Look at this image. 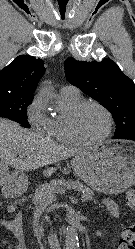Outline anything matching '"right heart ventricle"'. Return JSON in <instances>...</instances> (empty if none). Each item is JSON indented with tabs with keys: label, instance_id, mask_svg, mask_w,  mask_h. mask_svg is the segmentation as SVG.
<instances>
[{
	"label": "right heart ventricle",
	"instance_id": "obj_1",
	"mask_svg": "<svg viewBox=\"0 0 135 249\" xmlns=\"http://www.w3.org/2000/svg\"><path fill=\"white\" fill-rule=\"evenodd\" d=\"M60 101L65 107L67 114L63 117H56L51 119L48 136L60 143L73 145L76 144L71 138L67 129V116L68 113L81 102L80 97L71 98L60 95Z\"/></svg>",
	"mask_w": 135,
	"mask_h": 249
}]
</instances>
